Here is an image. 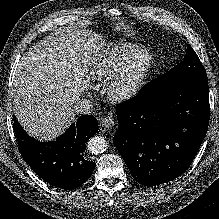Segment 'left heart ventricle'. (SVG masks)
I'll return each instance as SVG.
<instances>
[{"label": "left heart ventricle", "instance_id": "b2bd125f", "mask_svg": "<svg viewBox=\"0 0 219 219\" xmlns=\"http://www.w3.org/2000/svg\"><path fill=\"white\" fill-rule=\"evenodd\" d=\"M144 59L140 60L133 68H131L127 75V80L133 78V76L140 70V68L144 65Z\"/></svg>", "mask_w": 219, "mask_h": 219}]
</instances>
